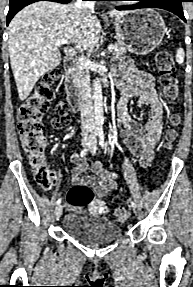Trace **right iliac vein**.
I'll return each instance as SVG.
<instances>
[{
  "mask_svg": "<svg viewBox=\"0 0 193 287\" xmlns=\"http://www.w3.org/2000/svg\"><path fill=\"white\" fill-rule=\"evenodd\" d=\"M88 143H89V139H87V138H84V139H82V141H81L82 146H86ZM62 212H63V207H62V205H58V206L55 208V211H54L55 217H56L57 219L60 218V216L62 215Z\"/></svg>",
  "mask_w": 193,
  "mask_h": 287,
  "instance_id": "obj_1",
  "label": "right iliac vein"
}]
</instances>
